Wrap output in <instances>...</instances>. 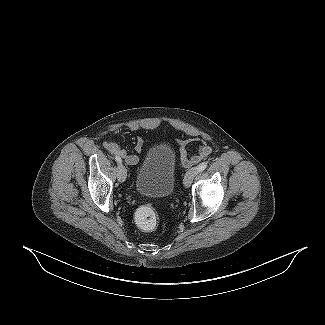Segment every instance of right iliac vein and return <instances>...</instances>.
Returning <instances> with one entry per match:
<instances>
[{
    "mask_svg": "<svg viewBox=\"0 0 325 325\" xmlns=\"http://www.w3.org/2000/svg\"><path fill=\"white\" fill-rule=\"evenodd\" d=\"M117 176L120 182H124L127 177V170L123 164H119L117 167Z\"/></svg>",
    "mask_w": 325,
    "mask_h": 325,
    "instance_id": "obj_1",
    "label": "right iliac vein"
}]
</instances>
